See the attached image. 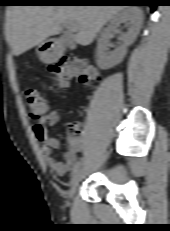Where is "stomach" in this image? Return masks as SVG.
I'll return each instance as SVG.
<instances>
[{
  "label": "stomach",
  "mask_w": 170,
  "mask_h": 231,
  "mask_svg": "<svg viewBox=\"0 0 170 231\" xmlns=\"http://www.w3.org/2000/svg\"><path fill=\"white\" fill-rule=\"evenodd\" d=\"M38 55H39L40 59H42L43 61H49L50 60L48 50L40 49V51H38Z\"/></svg>",
  "instance_id": "1"
}]
</instances>
